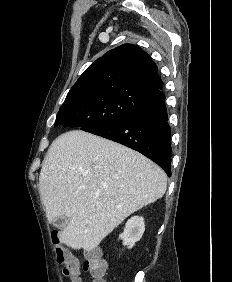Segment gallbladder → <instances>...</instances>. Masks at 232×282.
<instances>
[{
	"mask_svg": "<svg viewBox=\"0 0 232 282\" xmlns=\"http://www.w3.org/2000/svg\"><path fill=\"white\" fill-rule=\"evenodd\" d=\"M53 225L57 228V229H63L64 227H66L67 225V218L65 216H61L60 218H58Z\"/></svg>",
	"mask_w": 232,
	"mask_h": 282,
	"instance_id": "bac80fb5",
	"label": "gallbladder"
}]
</instances>
